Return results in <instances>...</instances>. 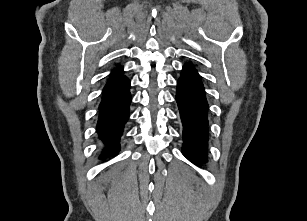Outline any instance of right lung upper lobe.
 <instances>
[{"instance_id":"cb5924a9","label":"right lung upper lobe","mask_w":307,"mask_h":221,"mask_svg":"<svg viewBox=\"0 0 307 221\" xmlns=\"http://www.w3.org/2000/svg\"><path fill=\"white\" fill-rule=\"evenodd\" d=\"M127 78L123 75V69L119 68L116 71H113L111 74V78L109 82L105 85L104 89L115 87L123 82H125Z\"/></svg>"}]
</instances>
